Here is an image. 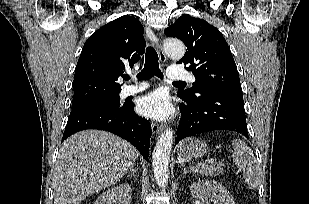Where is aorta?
Listing matches in <instances>:
<instances>
[{
  "label": "aorta",
  "mask_w": 309,
  "mask_h": 204,
  "mask_svg": "<svg viewBox=\"0 0 309 204\" xmlns=\"http://www.w3.org/2000/svg\"><path fill=\"white\" fill-rule=\"evenodd\" d=\"M164 49L173 59H181L185 54V46L179 40H168ZM173 131L166 129L155 145L152 156V168L155 180L160 187H165L169 178V157L173 144Z\"/></svg>",
  "instance_id": "762f6f07"
}]
</instances>
